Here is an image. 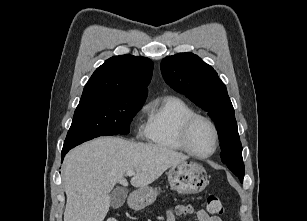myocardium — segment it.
<instances>
[{
	"label": "myocardium",
	"mask_w": 307,
	"mask_h": 221,
	"mask_svg": "<svg viewBox=\"0 0 307 221\" xmlns=\"http://www.w3.org/2000/svg\"><path fill=\"white\" fill-rule=\"evenodd\" d=\"M197 121H204L205 123H207L210 128L213 131L214 134V147L213 150L207 154H199L197 152H195L192 147L190 146L189 143V134L190 131L193 127V125L197 122ZM179 143L182 147V149L187 152L188 154H190L191 156L195 157V158H199V159H206L209 158L211 156H213L216 151L218 150L219 147V132L218 129L215 125V123L208 117L201 115V114H193L191 116H189L188 118H186L179 130Z\"/></svg>",
	"instance_id": "1"
}]
</instances>
